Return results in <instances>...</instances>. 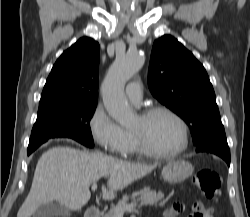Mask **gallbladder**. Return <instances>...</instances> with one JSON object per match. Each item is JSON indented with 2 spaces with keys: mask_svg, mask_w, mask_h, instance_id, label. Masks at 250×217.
I'll use <instances>...</instances> for the list:
<instances>
[{
  "mask_svg": "<svg viewBox=\"0 0 250 217\" xmlns=\"http://www.w3.org/2000/svg\"><path fill=\"white\" fill-rule=\"evenodd\" d=\"M70 211L57 202H49L40 206L33 217H69Z\"/></svg>",
  "mask_w": 250,
  "mask_h": 217,
  "instance_id": "obj_1",
  "label": "gallbladder"
}]
</instances>
